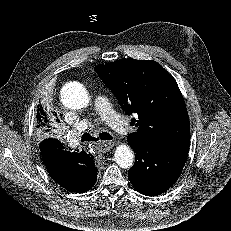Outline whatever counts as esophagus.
<instances>
[{
	"label": "esophagus",
	"instance_id": "34e87169",
	"mask_svg": "<svg viewBox=\"0 0 231 231\" xmlns=\"http://www.w3.org/2000/svg\"><path fill=\"white\" fill-rule=\"evenodd\" d=\"M113 145H114L113 142L103 141V142H100L99 149L101 150V152L106 153L113 147Z\"/></svg>",
	"mask_w": 231,
	"mask_h": 231
}]
</instances>
